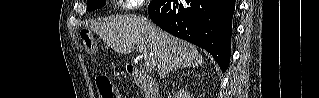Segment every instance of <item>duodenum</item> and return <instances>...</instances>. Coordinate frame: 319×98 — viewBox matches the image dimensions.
Here are the masks:
<instances>
[{"label": "duodenum", "instance_id": "1", "mask_svg": "<svg viewBox=\"0 0 319 98\" xmlns=\"http://www.w3.org/2000/svg\"><path fill=\"white\" fill-rule=\"evenodd\" d=\"M126 71L129 76L139 80L143 84L147 98H159L157 83L145 75L138 66L129 63L126 65Z\"/></svg>", "mask_w": 319, "mask_h": 98}]
</instances>
